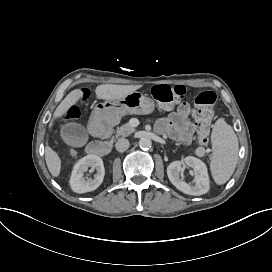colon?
<instances>
[{
	"label": "colon",
	"mask_w": 272,
	"mask_h": 272,
	"mask_svg": "<svg viewBox=\"0 0 272 272\" xmlns=\"http://www.w3.org/2000/svg\"><path fill=\"white\" fill-rule=\"evenodd\" d=\"M156 100L161 103H169L176 99L182 98L186 92L183 86L169 87L166 85H157L152 88ZM86 100V97L82 98ZM217 96L212 90H203L195 98L197 107V126L198 135L202 144H207L211 123L215 118L214 105ZM81 102L77 101L68 105L65 113V119L69 123H75L80 117Z\"/></svg>",
	"instance_id": "1"
}]
</instances>
